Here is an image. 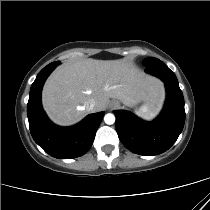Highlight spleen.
I'll return each instance as SVG.
<instances>
[{
  "label": "spleen",
  "instance_id": "1",
  "mask_svg": "<svg viewBox=\"0 0 210 210\" xmlns=\"http://www.w3.org/2000/svg\"><path fill=\"white\" fill-rule=\"evenodd\" d=\"M158 105L154 103H147L142 105L138 110L135 111V113L138 116H146L149 119H152L157 114Z\"/></svg>",
  "mask_w": 210,
  "mask_h": 210
}]
</instances>
